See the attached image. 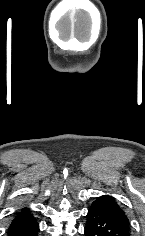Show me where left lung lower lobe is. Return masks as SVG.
Instances as JSON below:
<instances>
[{
  "mask_svg": "<svg viewBox=\"0 0 145 236\" xmlns=\"http://www.w3.org/2000/svg\"><path fill=\"white\" fill-rule=\"evenodd\" d=\"M86 218L85 236H130L128 227L98 209L90 208Z\"/></svg>",
  "mask_w": 145,
  "mask_h": 236,
  "instance_id": "1",
  "label": "left lung lower lobe"
}]
</instances>
